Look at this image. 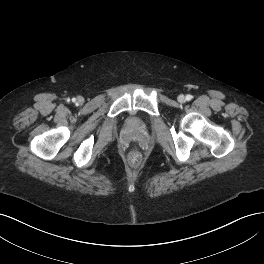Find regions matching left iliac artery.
I'll list each match as a JSON object with an SVG mask.
<instances>
[{"instance_id": "left-iliac-artery-1", "label": "left iliac artery", "mask_w": 264, "mask_h": 264, "mask_svg": "<svg viewBox=\"0 0 264 264\" xmlns=\"http://www.w3.org/2000/svg\"><path fill=\"white\" fill-rule=\"evenodd\" d=\"M192 99V96L190 94L186 95V100L190 101Z\"/></svg>"}]
</instances>
